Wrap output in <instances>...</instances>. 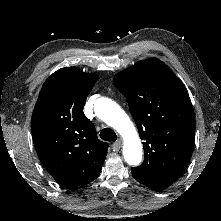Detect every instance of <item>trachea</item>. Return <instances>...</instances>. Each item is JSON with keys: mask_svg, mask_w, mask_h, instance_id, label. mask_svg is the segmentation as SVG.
I'll list each match as a JSON object with an SVG mask.
<instances>
[{"mask_svg": "<svg viewBox=\"0 0 221 221\" xmlns=\"http://www.w3.org/2000/svg\"><path fill=\"white\" fill-rule=\"evenodd\" d=\"M100 137L101 139L105 140V141H116L117 136L116 133L110 129V128H104L101 132H100Z\"/></svg>", "mask_w": 221, "mask_h": 221, "instance_id": "trachea-1", "label": "trachea"}]
</instances>
